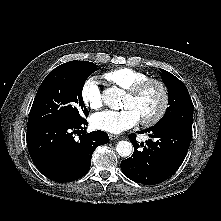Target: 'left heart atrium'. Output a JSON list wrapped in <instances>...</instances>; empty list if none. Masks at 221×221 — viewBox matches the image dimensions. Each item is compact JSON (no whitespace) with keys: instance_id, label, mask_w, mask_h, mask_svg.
<instances>
[{"instance_id":"1","label":"left heart atrium","mask_w":221,"mask_h":221,"mask_svg":"<svg viewBox=\"0 0 221 221\" xmlns=\"http://www.w3.org/2000/svg\"><path fill=\"white\" fill-rule=\"evenodd\" d=\"M139 121V116L131 108H125L121 111L106 110L94 114L91 118L95 128L109 133H120L132 128Z\"/></svg>"}]
</instances>
